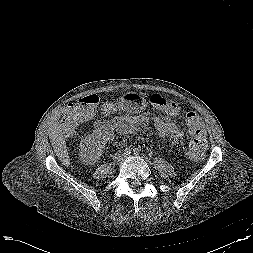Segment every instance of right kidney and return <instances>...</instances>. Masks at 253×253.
<instances>
[{"label": "right kidney", "instance_id": "ca27d5eb", "mask_svg": "<svg viewBox=\"0 0 253 253\" xmlns=\"http://www.w3.org/2000/svg\"><path fill=\"white\" fill-rule=\"evenodd\" d=\"M106 143V136L100 130H95L81 141L80 160L86 165H94L103 155Z\"/></svg>", "mask_w": 253, "mask_h": 253}]
</instances>
